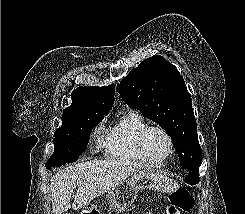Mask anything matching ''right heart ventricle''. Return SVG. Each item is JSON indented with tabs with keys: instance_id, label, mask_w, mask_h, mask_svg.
<instances>
[{
	"instance_id": "1",
	"label": "right heart ventricle",
	"mask_w": 245,
	"mask_h": 214,
	"mask_svg": "<svg viewBox=\"0 0 245 214\" xmlns=\"http://www.w3.org/2000/svg\"><path fill=\"white\" fill-rule=\"evenodd\" d=\"M147 125L138 111H122L102 139L105 153L113 159L147 165L136 147L137 135Z\"/></svg>"
}]
</instances>
